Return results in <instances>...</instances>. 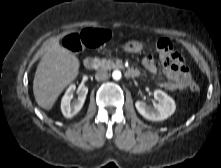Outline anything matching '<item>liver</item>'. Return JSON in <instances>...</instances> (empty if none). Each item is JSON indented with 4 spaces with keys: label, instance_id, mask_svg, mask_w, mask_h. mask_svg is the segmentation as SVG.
I'll list each match as a JSON object with an SVG mask.
<instances>
[{
    "label": "liver",
    "instance_id": "1",
    "mask_svg": "<svg viewBox=\"0 0 221 168\" xmlns=\"http://www.w3.org/2000/svg\"><path fill=\"white\" fill-rule=\"evenodd\" d=\"M78 58L55 41L39 62L33 80L37 104L51 110L58 96L79 74Z\"/></svg>",
    "mask_w": 221,
    "mask_h": 168
}]
</instances>
